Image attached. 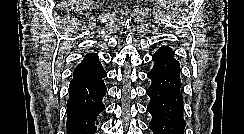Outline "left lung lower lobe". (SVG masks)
<instances>
[{
  "label": "left lung lower lobe",
  "mask_w": 244,
  "mask_h": 134,
  "mask_svg": "<svg viewBox=\"0 0 244 134\" xmlns=\"http://www.w3.org/2000/svg\"><path fill=\"white\" fill-rule=\"evenodd\" d=\"M148 77L152 80L146 90L150 97L147 110L152 115L149 128L154 134H184L181 86H164L150 73Z\"/></svg>",
  "instance_id": "left-lung-lower-lobe-1"
}]
</instances>
